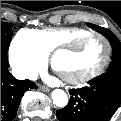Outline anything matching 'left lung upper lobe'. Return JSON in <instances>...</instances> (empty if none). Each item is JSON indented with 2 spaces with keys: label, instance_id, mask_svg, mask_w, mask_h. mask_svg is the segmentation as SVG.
<instances>
[{
  "label": "left lung upper lobe",
  "instance_id": "left-lung-upper-lobe-1",
  "mask_svg": "<svg viewBox=\"0 0 121 121\" xmlns=\"http://www.w3.org/2000/svg\"><path fill=\"white\" fill-rule=\"evenodd\" d=\"M88 26L96 30L97 32L101 33L106 38H108L112 46V49H113L112 62L107 72L121 74V43L120 41L110 30L106 28H103V27H100L91 23H88Z\"/></svg>",
  "mask_w": 121,
  "mask_h": 121
}]
</instances>
